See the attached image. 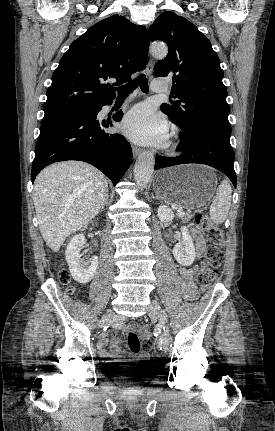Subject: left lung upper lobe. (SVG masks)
I'll return each mask as SVG.
<instances>
[{
  "label": "left lung upper lobe",
  "mask_w": 275,
  "mask_h": 431,
  "mask_svg": "<svg viewBox=\"0 0 275 431\" xmlns=\"http://www.w3.org/2000/svg\"><path fill=\"white\" fill-rule=\"evenodd\" d=\"M151 41L162 40L169 51L155 65V75L172 78L171 105L161 110L184 133L231 134L229 105L220 60L210 41L184 17L168 11L149 28Z\"/></svg>",
  "instance_id": "left-lung-upper-lobe-1"
}]
</instances>
